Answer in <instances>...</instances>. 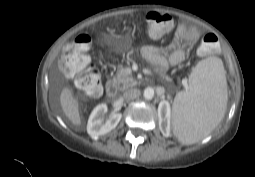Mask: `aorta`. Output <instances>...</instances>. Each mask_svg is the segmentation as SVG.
Wrapping results in <instances>:
<instances>
[{
	"label": "aorta",
	"instance_id": "aorta-1",
	"mask_svg": "<svg viewBox=\"0 0 255 177\" xmlns=\"http://www.w3.org/2000/svg\"><path fill=\"white\" fill-rule=\"evenodd\" d=\"M144 98L147 99V100H151L153 97H154V89L151 88V87H147L145 90H144Z\"/></svg>",
	"mask_w": 255,
	"mask_h": 177
}]
</instances>
